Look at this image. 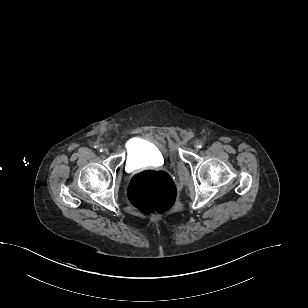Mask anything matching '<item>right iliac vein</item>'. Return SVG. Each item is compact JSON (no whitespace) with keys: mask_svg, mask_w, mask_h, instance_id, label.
Returning <instances> with one entry per match:
<instances>
[{"mask_svg":"<svg viewBox=\"0 0 308 308\" xmlns=\"http://www.w3.org/2000/svg\"><path fill=\"white\" fill-rule=\"evenodd\" d=\"M103 152H104L105 154H108L109 151H108V149L104 148V149H103Z\"/></svg>","mask_w":308,"mask_h":308,"instance_id":"1","label":"right iliac vein"}]
</instances>
